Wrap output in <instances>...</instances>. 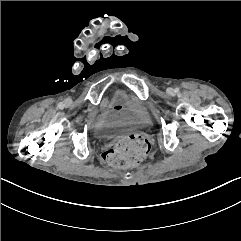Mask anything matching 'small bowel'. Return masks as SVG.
Returning a JSON list of instances; mask_svg holds the SVG:
<instances>
[{"label": "small bowel", "instance_id": "small-bowel-1", "mask_svg": "<svg viewBox=\"0 0 241 241\" xmlns=\"http://www.w3.org/2000/svg\"><path fill=\"white\" fill-rule=\"evenodd\" d=\"M143 115H144V116H145V118H146V112H145V111L143 112Z\"/></svg>", "mask_w": 241, "mask_h": 241}]
</instances>
